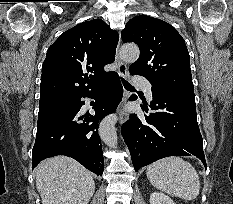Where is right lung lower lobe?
Returning a JSON list of instances; mask_svg holds the SVG:
<instances>
[{
  "instance_id": "obj_1",
  "label": "right lung lower lobe",
  "mask_w": 233,
  "mask_h": 204,
  "mask_svg": "<svg viewBox=\"0 0 233 204\" xmlns=\"http://www.w3.org/2000/svg\"><path fill=\"white\" fill-rule=\"evenodd\" d=\"M123 95V88L116 73L112 74L95 90L73 98L70 107L53 118L37 125L33 147V168L48 157L66 155L84 167L102 176L104 159L98 136V123L115 111ZM96 99L95 115H81L85 103L81 98Z\"/></svg>"
}]
</instances>
